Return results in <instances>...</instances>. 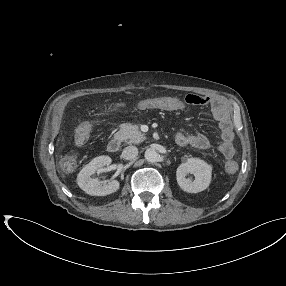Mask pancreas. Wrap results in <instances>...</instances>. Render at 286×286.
<instances>
[{
    "label": "pancreas",
    "mask_w": 286,
    "mask_h": 286,
    "mask_svg": "<svg viewBox=\"0 0 286 286\" xmlns=\"http://www.w3.org/2000/svg\"><path fill=\"white\" fill-rule=\"evenodd\" d=\"M114 137L119 141L126 142L127 144H138L145 140V136L139 130V127L130 123L123 124Z\"/></svg>",
    "instance_id": "cf45deb5"
}]
</instances>
